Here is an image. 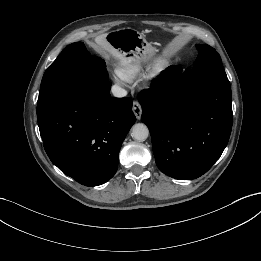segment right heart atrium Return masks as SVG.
<instances>
[{
	"label": "right heart atrium",
	"instance_id": "1",
	"mask_svg": "<svg viewBox=\"0 0 261 261\" xmlns=\"http://www.w3.org/2000/svg\"><path fill=\"white\" fill-rule=\"evenodd\" d=\"M115 80L119 83H122L124 81L118 74L115 75Z\"/></svg>",
	"mask_w": 261,
	"mask_h": 261
}]
</instances>
